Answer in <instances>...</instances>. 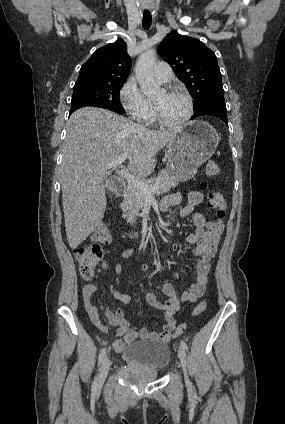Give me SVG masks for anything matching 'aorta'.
Segmentation results:
<instances>
[{
    "mask_svg": "<svg viewBox=\"0 0 285 424\" xmlns=\"http://www.w3.org/2000/svg\"><path fill=\"white\" fill-rule=\"evenodd\" d=\"M156 62V51L149 49L138 59L135 67V76L145 96L150 97L161 91L153 75V65Z\"/></svg>",
    "mask_w": 285,
    "mask_h": 424,
    "instance_id": "obj_1",
    "label": "aorta"
}]
</instances>
